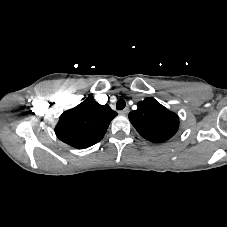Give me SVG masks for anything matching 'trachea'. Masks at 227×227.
Here are the masks:
<instances>
[{
  "label": "trachea",
  "mask_w": 227,
  "mask_h": 227,
  "mask_svg": "<svg viewBox=\"0 0 227 227\" xmlns=\"http://www.w3.org/2000/svg\"><path fill=\"white\" fill-rule=\"evenodd\" d=\"M126 106V102L124 99H119L116 103L117 110H123Z\"/></svg>",
  "instance_id": "trachea-1"
}]
</instances>
